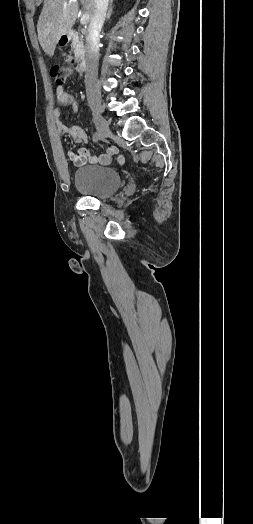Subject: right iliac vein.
I'll return each instance as SVG.
<instances>
[{
	"label": "right iliac vein",
	"instance_id": "63e3f726",
	"mask_svg": "<svg viewBox=\"0 0 253 524\" xmlns=\"http://www.w3.org/2000/svg\"><path fill=\"white\" fill-rule=\"evenodd\" d=\"M93 120L102 138H107L112 135L108 122L98 111H93Z\"/></svg>",
	"mask_w": 253,
	"mask_h": 524
}]
</instances>
